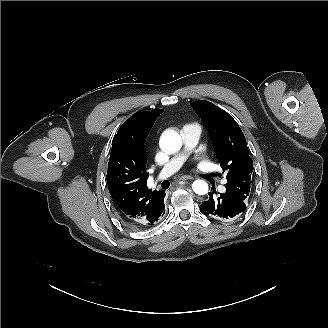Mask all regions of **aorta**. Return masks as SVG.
<instances>
[{
    "label": "aorta",
    "mask_w": 328,
    "mask_h": 328,
    "mask_svg": "<svg viewBox=\"0 0 328 328\" xmlns=\"http://www.w3.org/2000/svg\"><path fill=\"white\" fill-rule=\"evenodd\" d=\"M161 146L167 152H176L182 147L181 136L175 131H168L162 134ZM193 191L198 195H205L208 192V184L204 180H196L192 184Z\"/></svg>",
    "instance_id": "obj_1"
}]
</instances>
